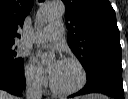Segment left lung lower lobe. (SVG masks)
Wrapping results in <instances>:
<instances>
[{
  "label": "left lung lower lobe",
  "mask_w": 128,
  "mask_h": 99,
  "mask_svg": "<svg viewBox=\"0 0 128 99\" xmlns=\"http://www.w3.org/2000/svg\"><path fill=\"white\" fill-rule=\"evenodd\" d=\"M87 83L71 97L88 93H102L115 99H124L121 58L99 56L85 68Z\"/></svg>",
  "instance_id": "left-lung-lower-lobe-1"
}]
</instances>
